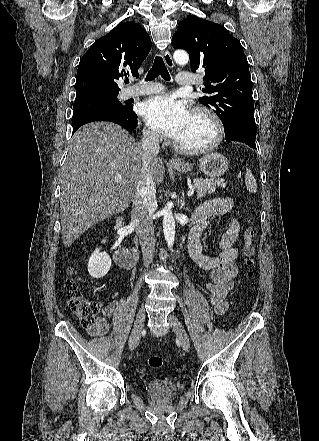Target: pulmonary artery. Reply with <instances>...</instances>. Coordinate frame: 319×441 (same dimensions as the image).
I'll return each mask as SVG.
<instances>
[{
  "instance_id": "e3ab8cb5",
  "label": "pulmonary artery",
  "mask_w": 319,
  "mask_h": 441,
  "mask_svg": "<svg viewBox=\"0 0 319 441\" xmlns=\"http://www.w3.org/2000/svg\"><path fill=\"white\" fill-rule=\"evenodd\" d=\"M199 82V79L196 75L190 74L187 72H181L176 77V83L183 87H189L195 85ZM163 90V86L158 83H147L144 86L128 90L125 92V98L138 97L148 94L159 93Z\"/></svg>"
}]
</instances>
